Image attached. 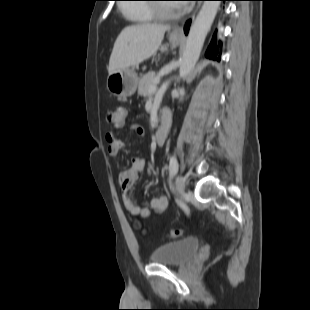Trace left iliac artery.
I'll use <instances>...</instances> for the list:
<instances>
[{"label":"left iliac artery","mask_w":310,"mask_h":310,"mask_svg":"<svg viewBox=\"0 0 310 310\" xmlns=\"http://www.w3.org/2000/svg\"><path fill=\"white\" fill-rule=\"evenodd\" d=\"M169 171H170V174L171 175H175L178 171V162H177V159L174 155H172L170 157V162H169ZM177 201V204L180 206V208L187 214L189 215L190 213V210L188 208V206L182 202V201H179V200H176Z\"/></svg>","instance_id":"obj_1"}]
</instances>
